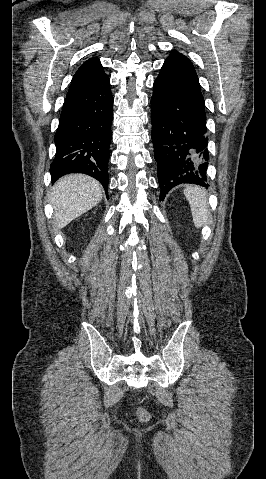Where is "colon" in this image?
Masks as SVG:
<instances>
[{"mask_svg":"<svg viewBox=\"0 0 266 479\" xmlns=\"http://www.w3.org/2000/svg\"><path fill=\"white\" fill-rule=\"evenodd\" d=\"M136 414H137L138 419L141 422H145L149 419V413L142 407L137 408Z\"/></svg>","mask_w":266,"mask_h":479,"instance_id":"obj_1","label":"colon"}]
</instances>
